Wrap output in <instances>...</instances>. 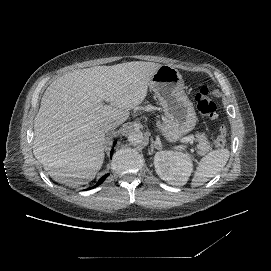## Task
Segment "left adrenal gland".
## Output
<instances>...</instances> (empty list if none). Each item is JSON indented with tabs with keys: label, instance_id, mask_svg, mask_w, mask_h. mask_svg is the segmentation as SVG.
<instances>
[{
	"label": "left adrenal gland",
	"instance_id": "left-adrenal-gland-1",
	"mask_svg": "<svg viewBox=\"0 0 271 271\" xmlns=\"http://www.w3.org/2000/svg\"><path fill=\"white\" fill-rule=\"evenodd\" d=\"M154 148H156L157 150H162V145H158L153 138L151 137V150L149 151V154L152 155Z\"/></svg>",
	"mask_w": 271,
	"mask_h": 271
}]
</instances>
